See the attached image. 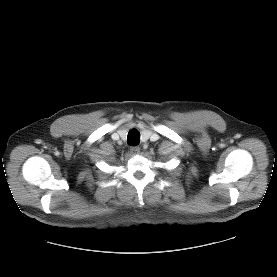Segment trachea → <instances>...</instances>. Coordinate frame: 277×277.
Listing matches in <instances>:
<instances>
[{
    "instance_id": "1",
    "label": "trachea",
    "mask_w": 277,
    "mask_h": 277,
    "mask_svg": "<svg viewBox=\"0 0 277 277\" xmlns=\"http://www.w3.org/2000/svg\"><path fill=\"white\" fill-rule=\"evenodd\" d=\"M140 142V133L136 129H132L128 133L127 143L132 146L138 145Z\"/></svg>"
}]
</instances>
